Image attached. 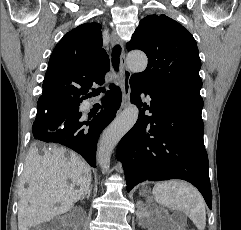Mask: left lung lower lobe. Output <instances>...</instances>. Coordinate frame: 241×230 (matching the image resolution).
<instances>
[{"label":"left lung lower lobe","instance_id":"obj_1","mask_svg":"<svg viewBox=\"0 0 241 230\" xmlns=\"http://www.w3.org/2000/svg\"><path fill=\"white\" fill-rule=\"evenodd\" d=\"M130 100L139 119L121 139L117 158L122 161L129 192L145 180L183 179L192 183L212 206L208 156L204 147L202 108L178 98L148 90L130 78ZM141 93L149 94L151 116L141 111Z\"/></svg>","mask_w":241,"mask_h":230}]
</instances>
